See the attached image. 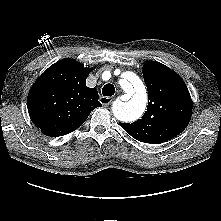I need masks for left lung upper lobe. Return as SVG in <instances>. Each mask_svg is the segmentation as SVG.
Returning a JSON list of instances; mask_svg holds the SVG:
<instances>
[{"instance_id":"5c2ea615","label":"left lung upper lobe","mask_w":221,"mask_h":221,"mask_svg":"<svg viewBox=\"0 0 221 221\" xmlns=\"http://www.w3.org/2000/svg\"><path fill=\"white\" fill-rule=\"evenodd\" d=\"M148 107L142 119L120 126L138 141L159 144L180 134L192 115V100L185 82L173 70L156 62L144 64Z\"/></svg>"}]
</instances>
